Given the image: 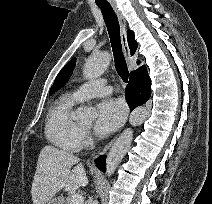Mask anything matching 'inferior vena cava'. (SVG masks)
Segmentation results:
<instances>
[{"instance_id":"1","label":"inferior vena cava","mask_w":212,"mask_h":204,"mask_svg":"<svg viewBox=\"0 0 212 204\" xmlns=\"http://www.w3.org/2000/svg\"><path fill=\"white\" fill-rule=\"evenodd\" d=\"M91 201H92V198H89L88 204H92V203H90Z\"/></svg>"}]
</instances>
